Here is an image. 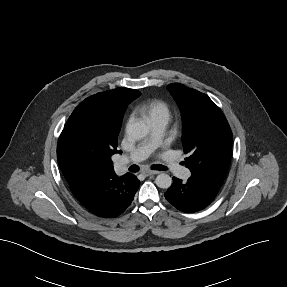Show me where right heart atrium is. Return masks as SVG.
Listing matches in <instances>:
<instances>
[{
  "label": "right heart atrium",
  "mask_w": 287,
  "mask_h": 287,
  "mask_svg": "<svg viewBox=\"0 0 287 287\" xmlns=\"http://www.w3.org/2000/svg\"><path fill=\"white\" fill-rule=\"evenodd\" d=\"M132 119H133V117L131 116V117H130V119H129V122H131V121H132Z\"/></svg>",
  "instance_id": "1"
}]
</instances>
